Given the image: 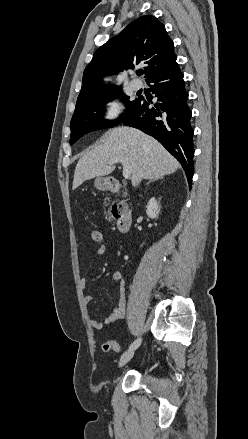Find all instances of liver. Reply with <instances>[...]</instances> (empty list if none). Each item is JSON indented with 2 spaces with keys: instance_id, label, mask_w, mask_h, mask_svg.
Returning <instances> with one entry per match:
<instances>
[{
  "instance_id": "obj_1",
  "label": "liver",
  "mask_w": 248,
  "mask_h": 439,
  "mask_svg": "<svg viewBox=\"0 0 248 439\" xmlns=\"http://www.w3.org/2000/svg\"><path fill=\"white\" fill-rule=\"evenodd\" d=\"M117 158L125 159L132 167L134 186L143 178H162L180 167L179 162L153 137L134 128L118 127L107 131L102 142L79 159L72 189L86 180L110 174L115 166L108 162Z\"/></svg>"
}]
</instances>
